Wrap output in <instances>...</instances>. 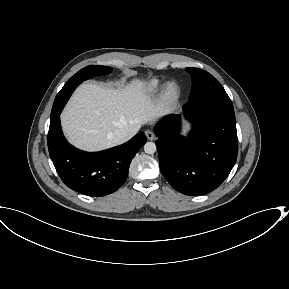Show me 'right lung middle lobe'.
<instances>
[{
	"mask_svg": "<svg viewBox=\"0 0 289 289\" xmlns=\"http://www.w3.org/2000/svg\"><path fill=\"white\" fill-rule=\"evenodd\" d=\"M112 70H113L112 67L90 65V66H87V67L81 69L80 71H78L74 76H72L68 80V82L65 85H69V84H72V83H75L78 81H80V83H81V82H83V81H85L91 77H94V76L109 74V73H111ZM63 93H64V91L63 92L60 91L55 98L52 112H51V119L56 114V111H57L56 108L58 106L59 101L61 100L60 98L63 96L62 95Z\"/></svg>",
	"mask_w": 289,
	"mask_h": 289,
	"instance_id": "right-lung-middle-lobe-1",
	"label": "right lung middle lobe"
}]
</instances>
